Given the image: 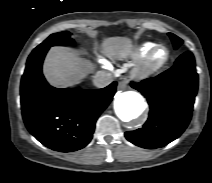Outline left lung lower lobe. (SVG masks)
<instances>
[{
  "mask_svg": "<svg viewBox=\"0 0 212 183\" xmlns=\"http://www.w3.org/2000/svg\"><path fill=\"white\" fill-rule=\"evenodd\" d=\"M131 85L147 98L150 113L142 128L126 132L125 137L147 149L160 148L177 139L190 122L198 89L193 54L185 52L167 71Z\"/></svg>",
  "mask_w": 212,
  "mask_h": 183,
  "instance_id": "obj_1",
  "label": "left lung lower lobe"
}]
</instances>
